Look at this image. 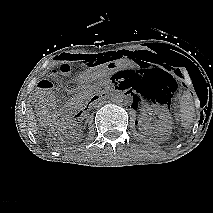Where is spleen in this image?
I'll list each match as a JSON object with an SVG mask.
<instances>
[{"mask_svg":"<svg viewBox=\"0 0 213 213\" xmlns=\"http://www.w3.org/2000/svg\"><path fill=\"white\" fill-rule=\"evenodd\" d=\"M180 108L181 124L184 128H189L195 119L194 102L189 92L184 93L182 96Z\"/></svg>","mask_w":213,"mask_h":213,"instance_id":"spleen-1","label":"spleen"}]
</instances>
